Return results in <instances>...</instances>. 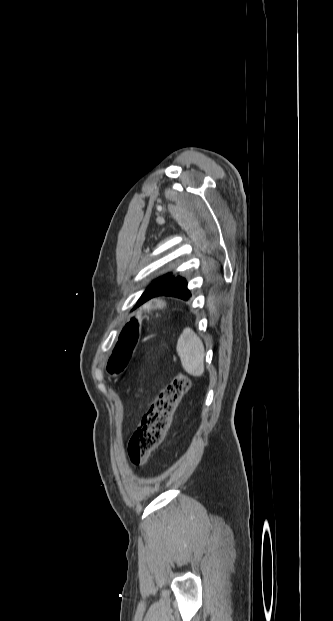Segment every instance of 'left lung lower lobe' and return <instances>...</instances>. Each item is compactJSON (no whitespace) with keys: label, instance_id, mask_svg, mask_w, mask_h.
Masks as SVG:
<instances>
[{"label":"left lung lower lobe","instance_id":"1","mask_svg":"<svg viewBox=\"0 0 333 621\" xmlns=\"http://www.w3.org/2000/svg\"><path fill=\"white\" fill-rule=\"evenodd\" d=\"M172 296L182 300H188L191 293L187 288V281L182 277H176L168 284L161 287L152 298Z\"/></svg>","mask_w":333,"mask_h":621}]
</instances>
